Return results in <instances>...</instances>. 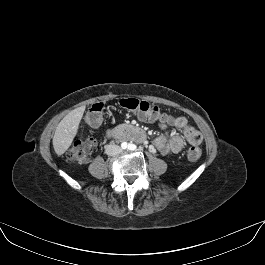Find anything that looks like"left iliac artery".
<instances>
[{
    "instance_id": "1",
    "label": "left iliac artery",
    "mask_w": 265,
    "mask_h": 265,
    "mask_svg": "<svg viewBox=\"0 0 265 265\" xmlns=\"http://www.w3.org/2000/svg\"><path fill=\"white\" fill-rule=\"evenodd\" d=\"M137 146L135 144H129L128 149L129 150H136Z\"/></svg>"
}]
</instances>
